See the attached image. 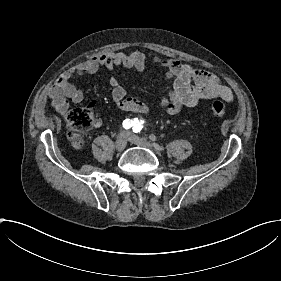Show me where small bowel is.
Listing matches in <instances>:
<instances>
[{
  "mask_svg": "<svg viewBox=\"0 0 281 281\" xmlns=\"http://www.w3.org/2000/svg\"><path fill=\"white\" fill-rule=\"evenodd\" d=\"M150 65L163 68L166 71L165 77L172 80L165 88L166 96L163 101L167 105L169 115L177 114L182 106L195 107L204 99L219 97L227 102L234 101V93L230 87L214 74L196 65L183 64L170 57H152L141 51H109L91 57L69 70L50 88L49 96L57 112L66 116L70 109L69 101L79 104L85 98L83 91L74 84V80L93 74L99 68L113 69L122 66L141 72ZM109 85L112 88V98L122 111L146 113L145 105L127 96L117 78L112 77ZM101 125L99 119L92 123L94 128Z\"/></svg>",
  "mask_w": 281,
  "mask_h": 281,
  "instance_id": "small-bowel-1",
  "label": "small bowel"
}]
</instances>
